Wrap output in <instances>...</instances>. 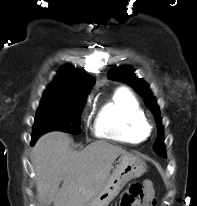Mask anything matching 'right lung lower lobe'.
I'll use <instances>...</instances> for the list:
<instances>
[{
    "mask_svg": "<svg viewBox=\"0 0 197 206\" xmlns=\"http://www.w3.org/2000/svg\"><path fill=\"white\" fill-rule=\"evenodd\" d=\"M35 141H36V140H32V144H34V143H35Z\"/></svg>",
    "mask_w": 197,
    "mask_h": 206,
    "instance_id": "right-lung-lower-lobe-1",
    "label": "right lung lower lobe"
}]
</instances>
